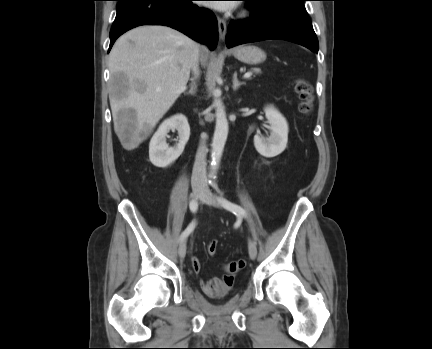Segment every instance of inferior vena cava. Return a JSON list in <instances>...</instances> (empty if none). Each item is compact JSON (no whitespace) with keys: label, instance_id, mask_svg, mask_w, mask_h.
I'll return each mask as SVG.
<instances>
[{"label":"inferior vena cava","instance_id":"602c4592","mask_svg":"<svg viewBox=\"0 0 432 349\" xmlns=\"http://www.w3.org/2000/svg\"><path fill=\"white\" fill-rule=\"evenodd\" d=\"M198 63H199V50H198V45L196 44L194 52L192 54V63H191L192 71H193L195 77H197L199 75ZM206 138H207L206 135L202 136L200 145H199L197 153H196L195 162H194L193 171H192V177H191L192 185L205 186L207 184Z\"/></svg>","mask_w":432,"mask_h":349}]
</instances>
